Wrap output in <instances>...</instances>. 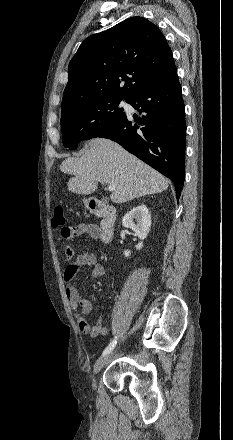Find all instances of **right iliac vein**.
I'll list each match as a JSON object with an SVG mask.
<instances>
[{"label":"right iliac vein","mask_w":233,"mask_h":440,"mask_svg":"<svg viewBox=\"0 0 233 440\" xmlns=\"http://www.w3.org/2000/svg\"><path fill=\"white\" fill-rule=\"evenodd\" d=\"M113 355V352L108 353L106 355H103L102 357H100L93 368V377H92V386L93 388H95V374H97L109 361V359L111 358V356Z\"/></svg>","instance_id":"1"}]
</instances>
